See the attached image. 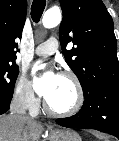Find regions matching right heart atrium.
<instances>
[{
    "label": "right heart atrium",
    "mask_w": 119,
    "mask_h": 141,
    "mask_svg": "<svg viewBox=\"0 0 119 141\" xmlns=\"http://www.w3.org/2000/svg\"><path fill=\"white\" fill-rule=\"evenodd\" d=\"M14 96L16 102L25 109H34L38 104L32 85L24 75L17 80Z\"/></svg>",
    "instance_id": "1"
}]
</instances>
